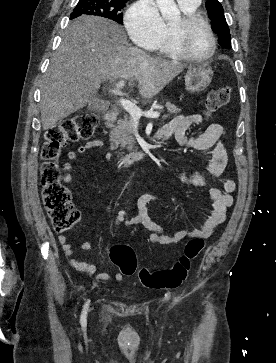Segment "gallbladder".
<instances>
[{
    "label": "gallbladder",
    "instance_id": "bac80fb5",
    "mask_svg": "<svg viewBox=\"0 0 276 363\" xmlns=\"http://www.w3.org/2000/svg\"><path fill=\"white\" fill-rule=\"evenodd\" d=\"M105 108V102L104 100H101L97 97H93L88 105H87V109L89 111H93V112H100Z\"/></svg>",
    "mask_w": 276,
    "mask_h": 363
}]
</instances>
